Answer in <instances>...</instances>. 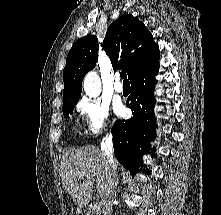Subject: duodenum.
I'll use <instances>...</instances> for the list:
<instances>
[{"label":"duodenum","mask_w":221,"mask_h":215,"mask_svg":"<svg viewBox=\"0 0 221 215\" xmlns=\"http://www.w3.org/2000/svg\"><path fill=\"white\" fill-rule=\"evenodd\" d=\"M79 215H86V213H85L84 211H81V212L79 213Z\"/></svg>","instance_id":"obj_1"}]
</instances>
